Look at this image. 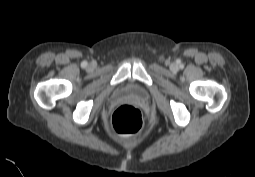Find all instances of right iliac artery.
<instances>
[{
	"label": "right iliac artery",
	"mask_w": 255,
	"mask_h": 177,
	"mask_svg": "<svg viewBox=\"0 0 255 177\" xmlns=\"http://www.w3.org/2000/svg\"><path fill=\"white\" fill-rule=\"evenodd\" d=\"M81 66H82V67H86V66H87V62H86V61H83V62L81 63Z\"/></svg>",
	"instance_id": "obj_1"
}]
</instances>
